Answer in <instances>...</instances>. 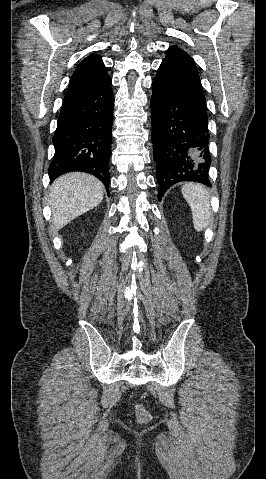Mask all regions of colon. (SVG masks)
Returning a JSON list of instances; mask_svg holds the SVG:
<instances>
[{
  "label": "colon",
  "instance_id": "colon-1",
  "mask_svg": "<svg viewBox=\"0 0 266 479\" xmlns=\"http://www.w3.org/2000/svg\"><path fill=\"white\" fill-rule=\"evenodd\" d=\"M135 415L137 422L141 424L147 423L151 418L150 413L140 404L135 406Z\"/></svg>",
  "mask_w": 266,
  "mask_h": 479
}]
</instances>
